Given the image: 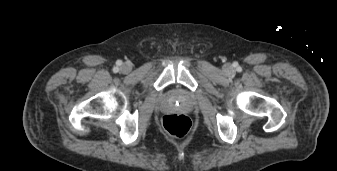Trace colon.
<instances>
[{"instance_id": "5ec220e1", "label": "colon", "mask_w": 337, "mask_h": 171, "mask_svg": "<svg viewBox=\"0 0 337 171\" xmlns=\"http://www.w3.org/2000/svg\"><path fill=\"white\" fill-rule=\"evenodd\" d=\"M162 124L167 133L176 137L184 136L191 128L190 119L185 115L179 114L164 116Z\"/></svg>"}]
</instances>
